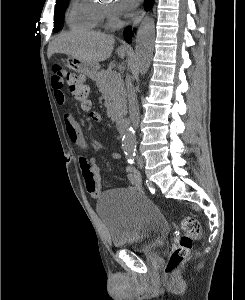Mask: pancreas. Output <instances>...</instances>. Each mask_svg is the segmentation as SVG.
I'll list each match as a JSON object with an SVG mask.
<instances>
[{
  "mask_svg": "<svg viewBox=\"0 0 245 300\" xmlns=\"http://www.w3.org/2000/svg\"><path fill=\"white\" fill-rule=\"evenodd\" d=\"M96 85L105 99L108 117L115 121L126 111V92L121 74L102 70L96 77Z\"/></svg>",
  "mask_w": 245,
  "mask_h": 300,
  "instance_id": "1",
  "label": "pancreas"
}]
</instances>
